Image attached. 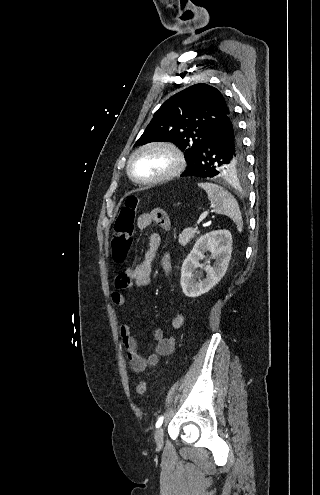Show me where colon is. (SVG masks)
I'll list each match as a JSON object with an SVG mask.
<instances>
[{
    "label": "colon",
    "instance_id": "5ec220e1",
    "mask_svg": "<svg viewBox=\"0 0 320 495\" xmlns=\"http://www.w3.org/2000/svg\"><path fill=\"white\" fill-rule=\"evenodd\" d=\"M138 203L139 199L136 196L127 197L117 216L111 238V253L117 264L124 263L129 255L133 243V222ZM147 389L148 385L145 380L139 381L136 385V392L139 395L146 394Z\"/></svg>",
    "mask_w": 320,
    "mask_h": 495
}]
</instances>
